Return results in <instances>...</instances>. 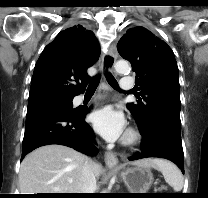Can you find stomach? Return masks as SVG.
<instances>
[{"label": "stomach", "instance_id": "1", "mask_svg": "<svg viewBox=\"0 0 208 198\" xmlns=\"http://www.w3.org/2000/svg\"><path fill=\"white\" fill-rule=\"evenodd\" d=\"M121 177L131 193H147L153 183V174L143 166L126 168Z\"/></svg>", "mask_w": 208, "mask_h": 198}]
</instances>
